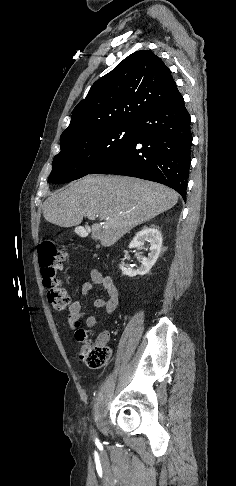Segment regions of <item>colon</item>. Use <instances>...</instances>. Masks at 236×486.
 <instances>
[{
    "label": "colon",
    "mask_w": 236,
    "mask_h": 486,
    "mask_svg": "<svg viewBox=\"0 0 236 486\" xmlns=\"http://www.w3.org/2000/svg\"><path fill=\"white\" fill-rule=\"evenodd\" d=\"M66 254L58 250L52 243H44L38 249L39 265L44 286L47 289V299L52 308L61 312L70 304V296L61 281L57 278ZM75 339L81 344V360L91 368H100L110 357V349L105 343H90L85 330L80 328L79 322L75 330Z\"/></svg>",
    "instance_id": "1"
}]
</instances>
